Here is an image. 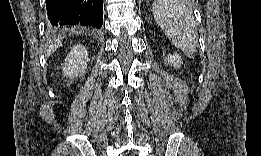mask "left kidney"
I'll return each mask as SVG.
<instances>
[{
    "mask_svg": "<svg viewBox=\"0 0 261 156\" xmlns=\"http://www.w3.org/2000/svg\"><path fill=\"white\" fill-rule=\"evenodd\" d=\"M165 63L173 65L175 68H179L182 62V57L178 53L169 54L165 58Z\"/></svg>",
    "mask_w": 261,
    "mask_h": 156,
    "instance_id": "obj_1",
    "label": "left kidney"
}]
</instances>
